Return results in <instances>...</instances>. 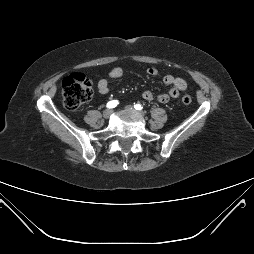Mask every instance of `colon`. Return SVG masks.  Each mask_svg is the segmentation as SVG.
I'll use <instances>...</instances> for the list:
<instances>
[{
  "instance_id": "colon-1",
  "label": "colon",
  "mask_w": 254,
  "mask_h": 254,
  "mask_svg": "<svg viewBox=\"0 0 254 254\" xmlns=\"http://www.w3.org/2000/svg\"><path fill=\"white\" fill-rule=\"evenodd\" d=\"M93 94L92 81L82 73H73L65 78L62 84V96L64 105L69 110H75L89 101ZM184 104H190V95L182 97Z\"/></svg>"
}]
</instances>
